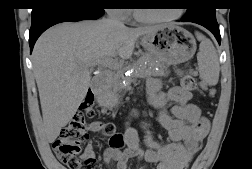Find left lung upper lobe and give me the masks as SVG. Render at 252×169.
Instances as JSON below:
<instances>
[{
    "mask_svg": "<svg viewBox=\"0 0 252 169\" xmlns=\"http://www.w3.org/2000/svg\"><path fill=\"white\" fill-rule=\"evenodd\" d=\"M192 6L187 8L183 19L216 18L214 0H191Z\"/></svg>",
    "mask_w": 252,
    "mask_h": 169,
    "instance_id": "1",
    "label": "left lung upper lobe"
}]
</instances>
